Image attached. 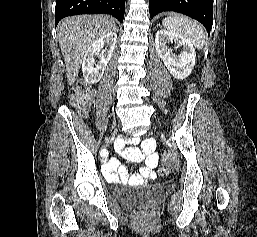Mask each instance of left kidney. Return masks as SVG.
Returning <instances> with one entry per match:
<instances>
[{"label":"left kidney","instance_id":"1","mask_svg":"<svg viewBox=\"0 0 257 237\" xmlns=\"http://www.w3.org/2000/svg\"><path fill=\"white\" fill-rule=\"evenodd\" d=\"M173 43L176 49H182L180 54L176 55L168 46ZM155 48L172 76L181 80L190 75L195 65L196 54L188 39L170 31L161 30L156 33Z\"/></svg>","mask_w":257,"mask_h":237}]
</instances>
